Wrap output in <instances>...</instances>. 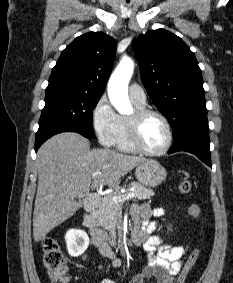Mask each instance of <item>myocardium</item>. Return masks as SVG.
<instances>
[{
  "mask_svg": "<svg viewBox=\"0 0 233 283\" xmlns=\"http://www.w3.org/2000/svg\"><path fill=\"white\" fill-rule=\"evenodd\" d=\"M151 116H156L160 118L163 123L166 126L167 132H168V140L166 145L158 150V151H151L147 149L141 142L140 138V131H141V126L143 122L151 117ZM127 129H128V136L131 145L134 147V149L142 154L149 155V156H160L165 154L172 146L173 144V129L172 126L167 119V117L162 114L159 111L153 110V109H137L134 114L127 118Z\"/></svg>",
  "mask_w": 233,
  "mask_h": 283,
  "instance_id": "f54148a6",
  "label": "myocardium"
}]
</instances>
